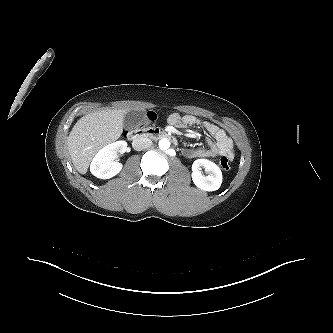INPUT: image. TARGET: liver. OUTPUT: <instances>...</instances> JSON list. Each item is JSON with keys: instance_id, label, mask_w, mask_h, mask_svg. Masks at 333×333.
<instances>
[{"instance_id": "obj_1", "label": "liver", "mask_w": 333, "mask_h": 333, "mask_svg": "<svg viewBox=\"0 0 333 333\" xmlns=\"http://www.w3.org/2000/svg\"><path fill=\"white\" fill-rule=\"evenodd\" d=\"M127 110H100L80 118L68 137L74 167L85 174L94 155L117 140L123 131Z\"/></svg>"}]
</instances>
